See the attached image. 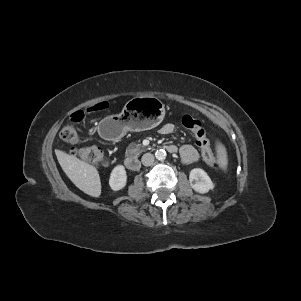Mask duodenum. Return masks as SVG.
I'll return each instance as SVG.
<instances>
[{"instance_id":"duodenum-1","label":"duodenum","mask_w":301,"mask_h":301,"mask_svg":"<svg viewBox=\"0 0 301 301\" xmlns=\"http://www.w3.org/2000/svg\"><path fill=\"white\" fill-rule=\"evenodd\" d=\"M164 148L170 153L177 152V147L174 145H166ZM124 164L129 170H137L139 168V161L134 157H127Z\"/></svg>"}]
</instances>
